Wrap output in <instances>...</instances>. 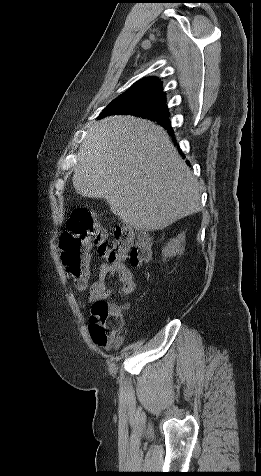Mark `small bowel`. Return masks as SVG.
<instances>
[{
    "label": "small bowel",
    "mask_w": 261,
    "mask_h": 476,
    "mask_svg": "<svg viewBox=\"0 0 261 476\" xmlns=\"http://www.w3.org/2000/svg\"><path fill=\"white\" fill-rule=\"evenodd\" d=\"M115 278L117 286L107 285V281ZM136 281L134 273L122 261H109L103 263L99 268L98 279L88 288V299L94 305L115 294H131L136 290ZM122 311L126 306L116 307Z\"/></svg>",
    "instance_id": "c3829d8e"
}]
</instances>
